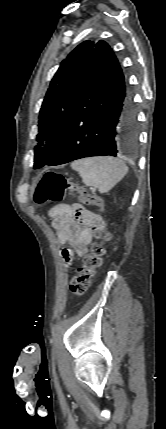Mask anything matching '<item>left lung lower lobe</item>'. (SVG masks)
<instances>
[{
	"mask_svg": "<svg viewBox=\"0 0 166 429\" xmlns=\"http://www.w3.org/2000/svg\"><path fill=\"white\" fill-rule=\"evenodd\" d=\"M137 138L133 93L114 52L99 41L90 75L57 147L44 165L128 153L135 148Z\"/></svg>",
	"mask_w": 166,
	"mask_h": 429,
	"instance_id": "0a47b994",
	"label": "left lung lower lobe"
}]
</instances>
